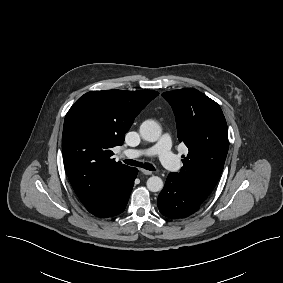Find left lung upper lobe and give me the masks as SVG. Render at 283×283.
<instances>
[{
  "label": "left lung upper lobe",
  "instance_id": "1",
  "mask_svg": "<svg viewBox=\"0 0 283 283\" xmlns=\"http://www.w3.org/2000/svg\"><path fill=\"white\" fill-rule=\"evenodd\" d=\"M174 111L178 139L188 147L183 167L173 173L203 202L217 184L228 152L227 123L220 106L194 88L164 92Z\"/></svg>",
  "mask_w": 283,
  "mask_h": 283
}]
</instances>
